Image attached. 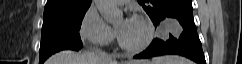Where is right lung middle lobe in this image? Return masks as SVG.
<instances>
[{"label": "right lung middle lobe", "instance_id": "1", "mask_svg": "<svg viewBox=\"0 0 242 64\" xmlns=\"http://www.w3.org/2000/svg\"><path fill=\"white\" fill-rule=\"evenodd\" d=\"M86 11L44 15L40 46V61L66 49L78 51L83 44L79 30Z\"/></svg>", "mask_w": 242, "mask_h": 64}]
</instances>
